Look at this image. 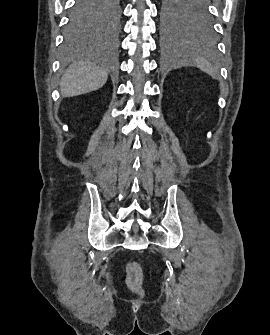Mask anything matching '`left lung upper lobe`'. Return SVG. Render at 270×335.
Masks as SVG:
<instances>
[{"mask_svg":"<svg viewBox=\"0 0 270 335\" xmlns=\"http://www.w3.org/2000/svg\"><path fill=\"white\" fill-rule=\"evenodd\" d=\"M160 10L165 33L212 30L208 0H162Z\"/></svg>","mask_w":270,"mask_h":335,"instance_id":"1","label":"left lung upper lobe"}]
</instances>
